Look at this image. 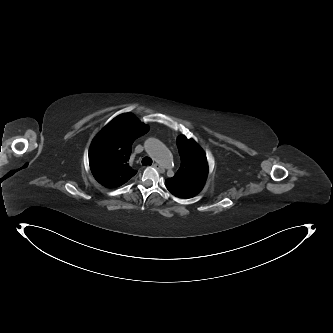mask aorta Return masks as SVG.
<instances>
[{
    "instance_id": "762f6f07",
    "label": "aorta",
    "mask_w": 333,
    "mask_h": 333,
    "mask_svg": "<svg viewBox=\"0 0 333 333\" xmlns=\"http://www.w3.org/2000/svg\"><path fill=\"white\" fill-rule=\"evenodd\" d=\"M146 152L157 162L162 168H168L172 163V156L168 148L158 139L149 138L145 144Z\"/></svg>"
}]
</instances>
